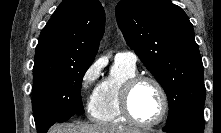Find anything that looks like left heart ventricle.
<instances>
[{
	"mask_svg": "<svg viewBox=\"0 0 221 133\" xmlns=\"http://www.w3.org/2000/svg\"><path fill=\"white\" fill-rule=\"evenodd\" d=\"M162 102L157 88L150 82L139 83L131 97L134 116L144 122L155 120L161 111Z\"/></svg>",
	"mask_w": 221,
	"mask_h": 133,
	"instance_id": "b2bd125f",
	"label": "left heart ventricle"
}]
</instances>
